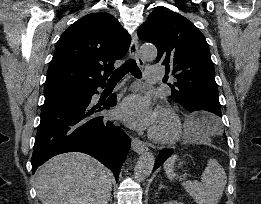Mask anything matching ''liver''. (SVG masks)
Segmentation results:
<instances>
[{
    "mask_svg": "<svg viewBox=\"0 0 261 204\" xmlns=\"http://www.w3.org/2000/svg\"><path fill=\"white\" fill-rule=\"evenodd\" d=\"M36 189L42 204H107L111 174L87 154L64 153L41 166Z\"/></svg>",
    "mask_w": 261,
    "mask_h": 204,
    "instance_id": "liver-1",
    "label": "liver"
}]
</instances>
